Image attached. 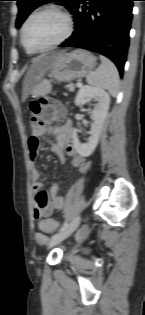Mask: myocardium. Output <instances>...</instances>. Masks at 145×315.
<instances>
[{
    "label": "myocardium",
    "mask_w": 145,
    "mask_h": 315,
    "mask_svg": "<svg viewBox=\"0 0 145 315\" xmlns=\"http://www.w3.org/2000/svg\"><path fill=\"white\" fill-rule=\"evenodd\" d=\"M45 13H51V14H54V15H57L58 17H60L64 23V32L58 39L49 43L48 45H45L42 47H31L27 44V42L25 40L26 27L32 18H34L38 15H41V14H45ZM72 31H73V22H72L71 16L67 12H65V11H63L57 7L48 6V7L41 8V9L31 13L26 18V20L24 21L22 28H21V42H22L23 46L25 47V49L28 51L43 52V51L50 50V49L62 44L64 41H66L70 37V35L72 34Z\"/></svg>",
    "instance_id": "1"
}]
</instances>
